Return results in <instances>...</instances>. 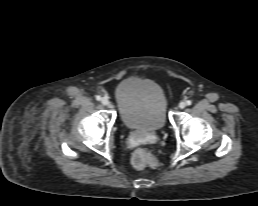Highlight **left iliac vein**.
Here are the masks:
<instances>
[{"instance_id":"left-iliac-vein-1","label":"left iliac vein","mask_w":258,"mask_h":206,"mask_svg":"<svg viewBox=\"0 0 258 206\" xmlns=\"http://www.w3.org/2000/svg\"><path fill=\"white\" fill-rule=\"evenodd\" d=\"M186 107V103L185 102H180L179 103V108L183 109Z\"/></svg>"}]
</instances>
